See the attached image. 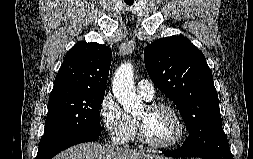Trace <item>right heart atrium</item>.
I'll use <instances>...</instances> for the list:
<instances>
[{"label": "right heart atrium", "instance_id": "obj_1", "mask_svg": "<svg viewBox=\"0 0 253 159\" xmlns=\"http://www.w3.org/2000/svg\"><path fill=\"white\" fill-rule=\"evenodd\" d=\"M101 126L111 142L125 145L130 140V117L123 111L113 94H106L99 105Z\"/></svg>", "mask_w": 253, "mask_h": 159}]
</instances>
